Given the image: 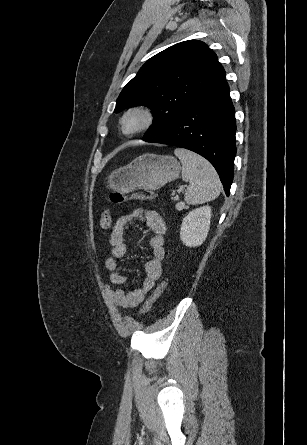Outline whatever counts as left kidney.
<instances>
[{"mask_svg":"<svg viewBox=\"0 0 307 445\" xmlns=\"http://www.w3.org/2000/svg\"><path fill=\"white\" fill-rule=\"evenodd\" d=\"M211 206H200L190 210L182 220L181 241L186 247H199L209 233Z\"/></svg>","mask_w":307,"mask_h":445,"instance_id":"1","label":"left kidney"}]
</instances>
